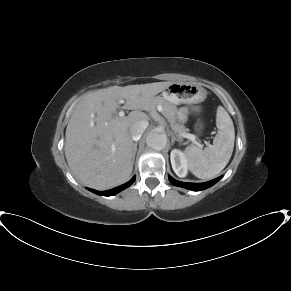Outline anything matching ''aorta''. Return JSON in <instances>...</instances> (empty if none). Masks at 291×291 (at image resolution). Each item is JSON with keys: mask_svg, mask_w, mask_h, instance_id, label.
<instances>
[{"mask_svg": "<svg viewBox=\"0 0 291 291\" xmlns=\"http://www.w3.org/2000/svg\"><path fill=\"white\" fill-rule=\"evenodd\" d=\"M146 143L151 148L161 150L165 148L167 144V136L162 131L153 130L148 133Z\"/></svg>", "mask_w": 291, "mask_h": 291, "instance_id": "aorta-1", "label": "aorta"}]
</instances>
